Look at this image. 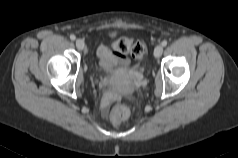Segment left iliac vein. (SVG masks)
<instances>
[{"label":"left iliac vein","mask_w":238,"mask_h":158,"mask_svg":"<svg viewBox=\"0 0 238 158\" xmlns=\"http://www.w3.org/2000/svg\"><path fill=\"white\" fill-rule=\"evenodd\" d=\"M163 53V46L162 45H157L154 49V56L156 58H159Z\"/></svg>","instance_id":"1"}]
</instances>
